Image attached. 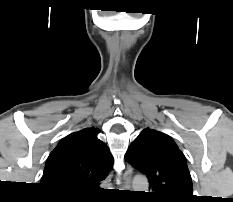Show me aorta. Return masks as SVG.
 Returning a JSON list of instances; mask_svg holds the SVG:
<instances>
[{
    "mask_svg": "<svg viewBox=\"0 0 233 202\" xmlns=\"http://www.w3.org/2000/svg\"><path fill=\"white\" fill-rule=\"evenodd\" d=\"M133 189L135 191H146L148 189V181L145 177H136L133 180Z\"/></svg>",
    "mask_w": 233,
    "mask_h": 202,
    "instance_id": "762f6f07",
    "label": "aorta"
}]
</instances>
